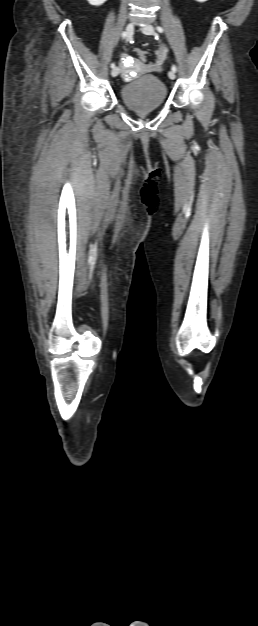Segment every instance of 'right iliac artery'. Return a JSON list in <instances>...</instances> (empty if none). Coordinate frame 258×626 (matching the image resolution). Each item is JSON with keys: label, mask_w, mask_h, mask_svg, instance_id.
<instances>
[{"label": "right iliac artery", "mask_w": 258, "mask_h": 626, "mask_svg": "<svg viewBox=\"0 0 258 626\" xmlns=\"http://www.w3.org/2000/svg\"><path fill=\"white\" fill-rule=\"evenodd\" d=\"M122 38H123V39H124V38H126V32H123V33H122ZM110 66H111V68H115V63H114V62H113V63H111V65H110Z\"/></svg>", "instance_id": "right-iliac-artery-1"}]
</instances>
